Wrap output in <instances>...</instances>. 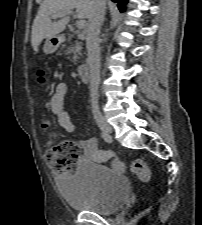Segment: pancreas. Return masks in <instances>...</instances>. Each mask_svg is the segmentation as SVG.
Masks as SVG:
<instances>
[{
    "instance_id": "pancreas-1",
    "label": "pancreas",
    "mask_w": 202,
    "mask_h": 225,
    "mask_svg": "<svg viewBox=\"0 0 202 225\" xmlns=\"http://www.w3.org/2000/svg\"><path fill=\"white\" fill-rule=\"evenodd\" d=\"M82 44L78 41L75 42L73 46H71L68 50V54H73V62L76 63L79 59V55H81Z\"/></svg>"
}]
</instances>
